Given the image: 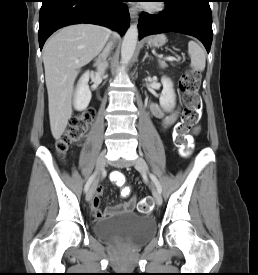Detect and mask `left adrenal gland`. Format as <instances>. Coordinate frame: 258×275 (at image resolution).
<instances>
[{"mask_svg":"<svg viewBox=\"0 0 258 275\" xmlns=\"http://www.w3.org/2000/svg\"><path fill=\"white\" fill-rule=\"evenodd\" d=\"M147 57H149V55H148V51H146V52H145V55H144V57H143V59H142V62H144V61H145V59H146Z\"/></svg>","mask_w":258,"mask_h":275,"instance_id":"1","label":"left adrenal gland"}]
</instances>
